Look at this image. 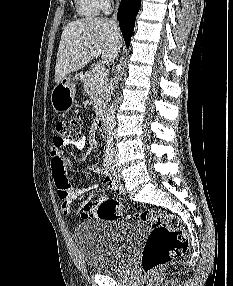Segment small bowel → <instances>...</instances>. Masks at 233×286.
Returning <instances> with one entry per match:
<instances>
[{"label":"small bowel","instance_id":"1","mask_svg":"<svg viewBox=\"0 0 233 286\" xmlns=\"http://www.w3.org/2000/svg\"><path fill=\"white\" fill-rule=\"evenodd\" d=\"M68 144H72L78 149H83L87 145V140L86 137H81L76 142H66L55 137L50 148L49 156L51 174L57 188L58 196L61 199V210L64 215L71 214L72 204L76 199L99 187L98 184H94L83 189H74L70 186L66 173V168L69 166V161L66 160L63 155V148ZM103 184L106 188L111 190H115L117 188V183L108 176L104 178ZM108 198V195H104L102 200H107ZM95 207L96 203L85 204L82 208L80 219L87 220L93 218Z\"/></svg>","mask_w":233,"mask_h":286}]
</instances>
